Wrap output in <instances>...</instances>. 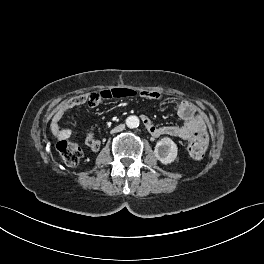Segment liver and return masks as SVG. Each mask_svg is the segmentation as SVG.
I'll use <instances>...</instances> for the list:
<instances>
[{
    "label": "liver",
    "instance_id": "6515ba94",
    "mask_svg": "<svg viewBox=\"0 0 264 264\" xmlns=\"http://www.w3.org/2000/svg\"><path fill=\"white\" fill-rule=\"evenodd\" d=\"M71 131L70 130H62L57 132V138L58 140L66 139L70 136Z\"/></svg>",
    "mask_w": 264,
    "mask_h": 264
}]
</instances>
